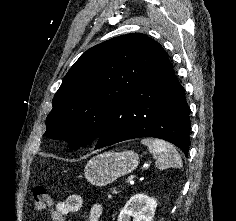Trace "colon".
I'll return each instance as SVG.
<instances>
[{
	"mask_svg": "<svg viewBox=\"0 0 236 221\" xmlns=\"http://www.w3.org/2000/svg\"><path fill=\"white\" fill-rule=\"evenodd\" d=\"M51 206V196L47 185L35 187L33 192V207L37 213H44Z\"/></svg>",
	"mask_w": 236,
	"mask_h": 221,
	"instance_id": "obj_1",
	"label": "colon"
}]
</instances>
